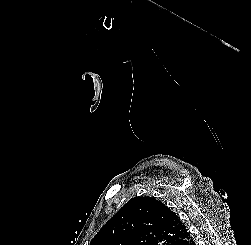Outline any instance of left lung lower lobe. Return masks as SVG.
<instances>
[{"label":"left lung lower lobe","mask_w":251,"mask_h":245,"mask_svg":"<svg viewBox=\"0 0 251 245\" xmlns=\"http://www.w3.org/2000/svg\"><path fill=\"white\" fill-rule=\"evenodd\" d=\"M172 245H195V244L190 233L186 229V231L183 232V234Z\"/></svg>","instance_id":"0a47b994"}]
</instances>
